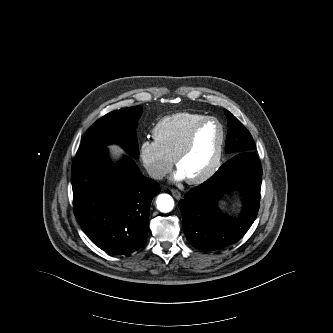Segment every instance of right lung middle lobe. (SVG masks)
Listing matches in <instances>:
<instances>
[{
  "mask_svg": "<svg viewBox=\"0 0 333 333\" xmlns=\"http://www.w3.org/2000/svg\"><path fill=\"white\" fill-rule=\"evenodd\" d=\"M141 113V107L135 106L106 114L88 129L81 149L105 147L110 143H119L133 156H138L135 129Z\"/></svg>",
  "mask_w": 333,
  "mask_h": 333,
  "instance_id": "right-lung-middle-lobe-1",
  "label": "right lung middle lobe"
}]
</instances>
